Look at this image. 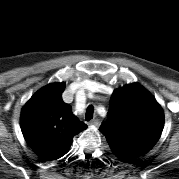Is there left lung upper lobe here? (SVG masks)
Returning a JSON list of instances; mask_svg holds the SVG:
<instances>
[{"instance_id": "obj_1", "label": "left lung upper lobe", "mask_w": 179, "mask_h": 179, "mask_svg": "<svg viewBox=\"0 0 179 179\" xmlns=\"http://www.w3.org/2000/svg\"><path fill=\"white\" fill-rule=\"evenodd\" d=\"M109 124L102 130L109 142L125 141L153 145L163 128V119L153 103L134 88H124L116 93L111 108Z\"/></svg>"}]
</instances>
